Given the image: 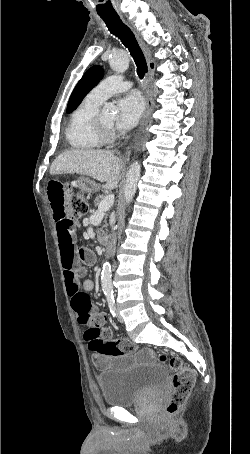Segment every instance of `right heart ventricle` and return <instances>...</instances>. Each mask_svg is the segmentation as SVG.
Returning <instances> with one entry per match:
<instances>
[{"instance_id":"obj_1","label":"right heart ventricle","mask_w":250,"mask_h":454,"mask_svg":"<svg viewBox=\"0 0 250 454\" xmlns=\"http://www.w3.org/2000/svg\"><path fill=\"white\" fill-rule=\"evenodd\" d=\"M101 103L87 96L72 112L66 128V139L75 150H92L102 145L93 128V118Z\"/></svg>"}]
</instances>
